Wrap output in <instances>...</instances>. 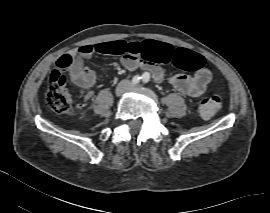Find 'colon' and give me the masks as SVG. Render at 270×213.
<instances>
[{
    "mask_svg": "<svg viewBox=\"0 0 270 213\" xmlns=\"http://www.w3.org/2000/svg\"><path fill=\"white\" fill-rule=\"evenodd\" d=\"M104 53L133 56H149V48L142 44L131 41H112L104 43L101 47ZM64 55L59 59V64L51 69L48 75L49 86L45 94L47 104L59 114H69L72 112V95L66 87L67 77L64 73L66 60ZM202 56L197 53L188 52L186 55L178 54L173 59V64L178 66L187 65L189 70L200 68ZM222 105L220 95H212L204 98L197 107V112L202 118H209L218 112Z\"/></svg>",
    "mask_w": 270,
    "mask_h": 213,
    "instance_id": "obj_1",
    "label": "colon"
}]
</instances>
